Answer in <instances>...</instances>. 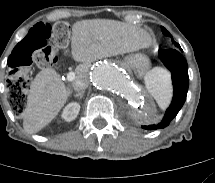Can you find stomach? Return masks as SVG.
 <instances>
[{"label":"stomach","instance_id":"stomach-1","mask_svg":"<svg viewBox=\"0 0 215 183\" xmlns=\"http://www.w3.org/2000/svg\"><path fill=\"white\" fill-rule=\"evenodd\" d=\"M125 64L133 69L139 76L143 75L150 67L149 58L141 53L131 54L124 59Z\"/></svg>","mask_w":215,"mask_h":183}]
</instances>
